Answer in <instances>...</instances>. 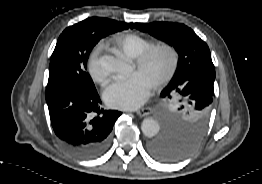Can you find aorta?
Returning a JSON list of instances; mask_svg holds the SVG:
<instances>
[{
	"label": "aorta",
	"mask_w": 262,
	"mask_h": 184,
	"mask_svg": "<svg viewBox=\"0 0 262 184\" xmlns=\"http://www.w3.org/2000/svg\"><path fill=\"white\" fill-rule=\"evenodd\" d=\"M141 130L146 137H154L160 130V123L154 118H145L142 121Z\"/></svg>",
	"instance_id": "762f6f07"
}]
</instances>
